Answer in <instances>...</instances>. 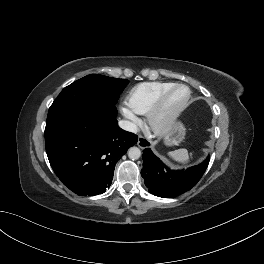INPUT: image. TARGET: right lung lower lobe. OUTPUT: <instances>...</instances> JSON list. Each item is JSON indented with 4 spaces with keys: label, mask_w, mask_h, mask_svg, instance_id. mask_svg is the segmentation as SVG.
Segmentation results:
<instances>
[{
    "label": "right lung lower lobe",
    "mask_w": 264,
    "mask_h": 264,
    "mask_svg": "<svg viewBox=\"0 0 264 264\" xmlns=\"http://www.w3.org/2000/svg\"><path fill=\"white\" fill-rule=\"evenodd\" d=\"M116 114L115 105L83 101L46 122L50 165L74 193H104L111 185L115 164L137 143V135L118 126Z\"/></svg>",
    "instance_id": "1"
}]
</instances>
